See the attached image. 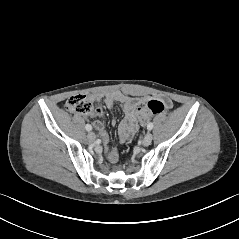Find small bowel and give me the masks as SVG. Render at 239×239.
Here are the masks:
<instances>
[{"instance_id":"1","label":"small bowel","mask_w":239,"mask_h":239,"mask_svg":"<svg viewBox=\"0 0 239 239\" xmlns=\"http://www.w3.org/2000/svg\"><path fill=\"white\" fill-rule=\"evenodd\" d=\"M89 99L93 102L104 101L108 108H112L115 104H119L124 112V118L119 124L118 139L122 143L131 138L138 130V122L136 117V110L144 103L146 98L131 97L123 94L120 91L107 92L105 94H92ZM164 103L167 108L172 107V102L169 99H164ZM93 116L101 117L103 115L102 110L96 107L92 112ZM114 122V121H113ZM95 129L100 133L104 143L107 146V156L110 160H114L117 157V150L115 148L109 149L108 144L110 138L106 130L104 129V123L101 119L96 120L93 123Z\"/></svg>"}]
</instances>
